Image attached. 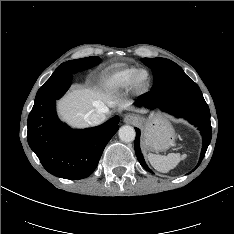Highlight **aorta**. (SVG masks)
I'll list each match as a JSON object with an SVG mask.
<instances>
[{
  "label": "aorta",
  "instance_id": "aorta-1",
  "mask_svg": "<svg viewBox=\"0 0 234 234\" xmlns=\"http://www.w3.org/2000/svg\"><path fill=\"white\" fill-rule=\"evenodd\" d=\"M118 135L121 141L132 142L135 139L136 132L132 126L125 125L119 129Z\"/></svg>",
  "mask_w": 234,
  "mask_h": 234
}]
</instances>
